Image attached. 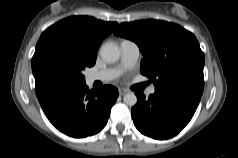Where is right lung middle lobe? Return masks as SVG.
I'll list each match as a JSON object with an SVG mask.
<instances>
[{"label": "right lung middle lobe", "instance_id": "1", "mask_svg": "<svg viewBox=\"0 0 238 158\" xmlns=\"http://www.w3.org/2000/svg\"><path fill=\"white\" fill-rule=\"evenodd\" d=\"M95 64L78 45L57 36L40 37L32 58V71L35 79L52 76L57 79L85 83L82 71Z\"/></svg>", "mask_w": 238, "mask_h": 158}]
</instances>
